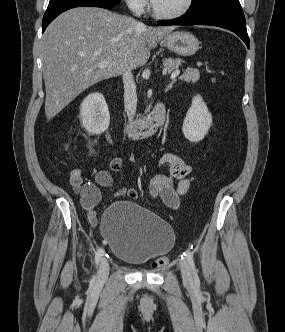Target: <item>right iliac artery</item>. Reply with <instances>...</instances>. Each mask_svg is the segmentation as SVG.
Wrapping results in <instances>:
<instances>
[{
    "label": "right iliac artery",
    "mask_w": 285,
    "mask_h": 332,
    "mask_svg": "<svg viewBox=\"0 0 285 332\" xmlns=\"http://www.w3.org/2000/svg\"><path fill=\"white\" fill-rule=\"evenodd\" d=\"M103 253H104V250L103 248H99L95 254V264L98 265L99 262L101 261L102 259V256H103Z\"/></svg>",
    "instance_id": "right-iliac-artery-1"
}]
</instances>
